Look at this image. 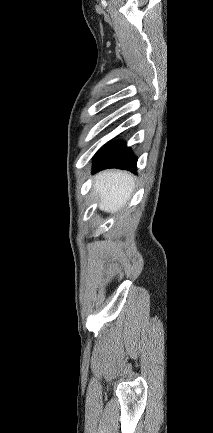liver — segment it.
I'll list each match as a JSON object with an SVG mask.
<instances>
[{"mask_svg":"<svg viewBox=\"0 0 213 433\" xmlns=\"http://www.w3.org/2000/svg\"><path fill=\"white\" fill-rule=\"evenodd\" d=\"M135 187L134 176L120 170H105L95 177L93 190L99 196L102 211L116 213L131 198Z\"/></svg>","mask_w":213,"mask_h":433,"instance_id":"1","label":"liver"}]
</instances>
